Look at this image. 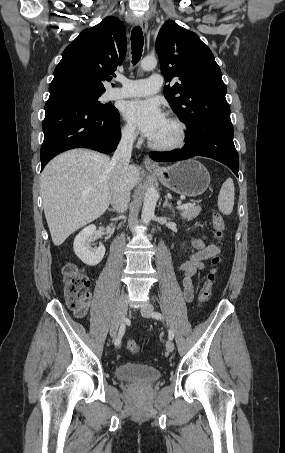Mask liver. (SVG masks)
I'll list each match as a JSON object with an SVG mask.
<instances>
[{
	"mask_svg": "<svg viewBox=\"0 0 285 453\" xmlns=\"http://www.w3.org/2000/svg\"><path fill=\"white\" fill-rule=\"evenodd\" d=\"M110 158L86 149L55 157L41 174V195L46 221L55 246L73 232L100 217L110 203L113 168ZM140 171L129 166L131 188Z\"/></svg>",
	"mask_w": 285,
	"mask_h": 453,
	"instance_id": "liver-1",
	"label": "liver"
}]
</instances>
